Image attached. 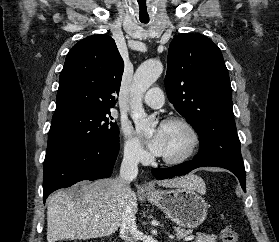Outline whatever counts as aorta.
<instances>
[{"label": "aorta", "mask_w": 279, "mask_h": 242, "mask_svg": "<svg viewBox=\"0 0 279 242\" xmlns=\"http://www.w3.org/2000/svg\"><path fill=\"white\" fill-rule=\"evenodd\" d=\"M163 71L160 61L149 60L141 64L135 72L131 90V117L137 130L149 137L156 126L155 118L147 116L142 105V97Z\"/></svg>", "instance_id": "obj_1"}]
</instances>
